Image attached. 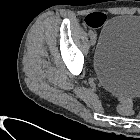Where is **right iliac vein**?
Instances as JSON below:
<instances>
[{
	"mask_svg": "<svg viewBox=\"0 0 140 140\" xmlns=\"http://www.w3.org/2000/svg\"><path fill=\"white\" fill-rule=\"evenodd\" d=\"M90 41H91V45L92 46H94L96 44V37H95V35L91 36V40Z\"/></svg>",
	"mask_w": 140,
	"mask_h": 140,
	"instance_id": "right-iliac-vein-1",
	"label": "right iliac vein"
}]
</instances>
